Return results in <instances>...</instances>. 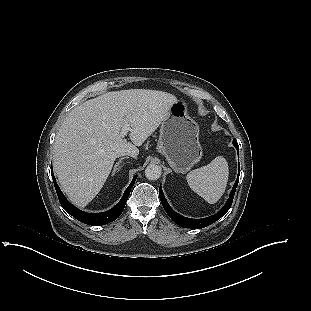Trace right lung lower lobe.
<instances>
[{
    "label": "right lung lower lobe",
    "mask_w": 311,
    "mask_h": 311,
    "mask_svg": "<svg viewBox=\"0 0 311 311\" xmlns=\"http://www.w3.org/2000/svg\"><path fill=\"white\" fill-rule=\"evenodd\" d=\"M52 173V178L54 181V186L59 198V201L62 205V207L70 214L72 215L74 218H76L77 220H79L82 223H85L87 225H93V226H98V225H104L107 223H110L114 220H116L121 213L123 212V209L125 207L126 201L129 197L131 188L133 187L137 176H134L130 185L127 187V189L125 190L123 197L121 198V200L110 210L102 212V213H86L83 212L79 209H77L76 207H74L63 195V193L61 192V190L59 189L57 182L55 180V177L53 175V171Z\"/></svg>",
    "instance_id": "1"
}]
</instances>
